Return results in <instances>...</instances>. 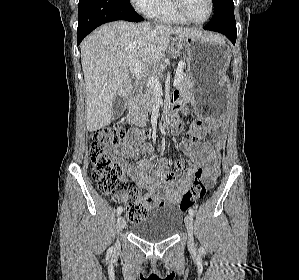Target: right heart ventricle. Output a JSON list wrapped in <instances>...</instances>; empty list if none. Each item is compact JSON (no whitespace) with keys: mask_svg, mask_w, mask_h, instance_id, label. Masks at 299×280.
<instances>
[{"mask_svg":"<svg viewBox=\"0 0 299 280\" xmlns=\"http://www.w3.org/2000/svg\"><path fill=\"white\" fill-rule=\"evenodd\" d=\"M148 15L158 21L169 24H185L186 21L182 19L174 10L171 0H155Z\"/></svg>","mask_w":299,"mask_h":280,"instance_id":"e07e8e85","label":"right heart ventricle"}]
</instances>
